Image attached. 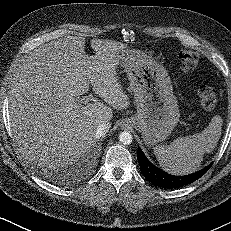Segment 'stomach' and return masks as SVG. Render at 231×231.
I'll return each mask as SVG.
<instances>
[{
	"mask_svg": "<svg viewBox=\"0 0 231 231\" xmlns=\"http://www.w3.org/2000/svg\"><path fill=\"white\" fill-rule=\"evenodd\" d=\"M120 64L127 73L137 113L125 124L142 134L147 146L165 140L180 117L167 71L146 53L127 49L120 53Z\"/></svg>",
	"mask_w": 231,
	"mask_h": 231,
	"instance_id": "obj_1",
	"label": "stomach"
}]
</instances>
